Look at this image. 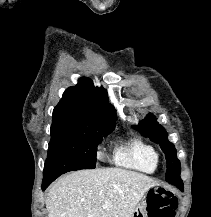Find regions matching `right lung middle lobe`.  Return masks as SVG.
<instances>
[{"label":"right lung middle lobe","instance_id":"right-lung-middle-lobe-1","mask_svg":"<svg viewBox=\"0 0 211 217\" xmlns=\"http://www.w3.org/2000/svg\"><path fill=\"white\" fill-rule=\"evenodd\" d=\"M99 125L53 122L43 179L80 169H94L97 145L112 132Z\"/></svg>","mask_w":211,"mask_h":217}]
</instances>
